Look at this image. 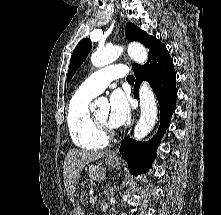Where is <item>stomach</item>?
<instances>
[{
  "label": "stomach",
  "mask_w": 221,
  "mask_h": 215,
  "mask_svg": "<svg viewBox=\"0 0 221 215\" xmlns=\"http://www.w3.org/2000/svg\"><path fill=\"white\" fill-rule=\"evenodd\" d=\"M105 162L110 168H117L120 166V160L117 157L107 156ZM87 173L93 181H101L105 178V171L99 165H89ZM71 215H83V212L80 208H77L72 211Z\"/></svg>",
  "instance_id": "obj_1"
}]
</instances>
